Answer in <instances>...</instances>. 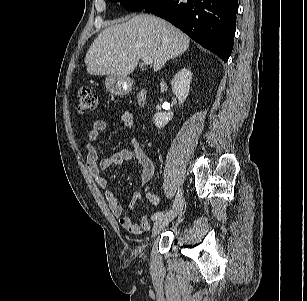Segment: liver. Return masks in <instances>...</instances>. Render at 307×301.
<instances>
[{
  "label": "liver",
  "mask_w": 307,
  "mask_h": 301,
  "mask_svg": "<svg viewBox=\"0 0 307 301\" xmlns=\"http://www.w3.org/2000/svg\"><path fill=\"white\" fill-rule=\"evenodd\" d=\"M190 39L167 21L141 14L104 29L85 56L90 75L127 77L140 58L151 57L154 71L183 54Z\"/></svg>",
  "instance_id": "liver-1"
}]
</instances>
